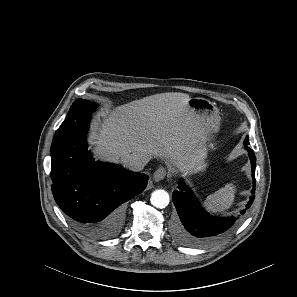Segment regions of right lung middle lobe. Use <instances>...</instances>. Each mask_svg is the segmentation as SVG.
I'll return each mask as SVG.
<instances>
[{"label": "right lung middle lobe", "mask_w": 297, "mask_h": 297, "mask_svg": "<svg viewBox=\"0 0 297 297\" xmlns=\"http://www.w3.org/2000/svg\"><path fill=\"white\" fill-rule=\"evenodd\" d=\"M97 107V104L91 103L84 99H78L76 100L71 108L69 109V112L66 116V119L61 124V126L65 125L69 121L77 120L81 117L88 116L90 113L94 111V109Z\"/></svg>", "instance_id": "obj_1"}]
</instances>
